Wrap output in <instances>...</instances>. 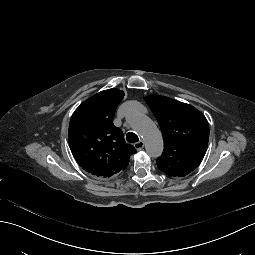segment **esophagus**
I'll return each mask as SVG.
<instances>
[{
  "label": "esophagus",
  "mask_w": 255,
  "mask_h": 255,
  "mask_svg": "<svg viewBox=\"0 0 255 255\" xmlns=\"http://www.w3.org/2000/svg\"><path fill=\"white\" fill-rule=\"evenodd\" d=\"M134 147L137 151H140L144 148V141L143 140H140L139 142H136L134 144Z\"/></svg>",
  "instance_id": "esophagus-1"
}]
</instances>
